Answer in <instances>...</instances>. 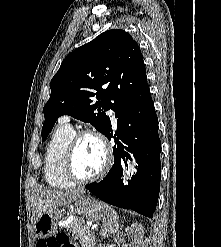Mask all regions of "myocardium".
<instances>
[{
	"instance_id": "1",
	"label": "myocardium",
	"mask_w": 221,
	"mask_h": 247,
	"mask_svg": "<svg viewBox=\"0 0 221 247\" xmlns=\"http://www.w3.org/2000/svg\"><path fill=\"white\" fill-rule=\"evenodd\" d=\"M85 136H91L100 143L104 152V165L101 168V170L94 176L84 178L78 176L74 169V156L79 141ZM113 159H114L113 149L107 138L101 132L95 129H81L74 132L69 142L64 158V171L66 176L74 183H78V184L92 183L102 179L109 172L113 164Z\"/></svg>"
}]
</instances>
